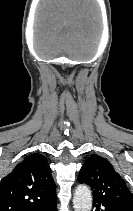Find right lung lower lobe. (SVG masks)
Returning <instances> with one entry per match:
<instances>
[{"instance_id":"98d812e1","label":"right lung lower lobe","mask_w":133,"mask_h":211,"mask_svg":"<svg viewBox=\"0 0 133 211\" xmlns=\"http://www.w3.org/2000/svg\"><path fill=\"white\" fill-rule=\"evenodd\" d=\"M36 211H57L56 197L52 201H50L49 203H46L45 205L36 209Z\"/></svg>"}]
</instances>
